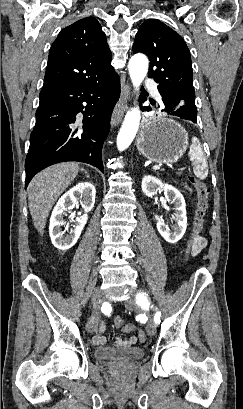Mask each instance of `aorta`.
I'll use <instances>...</instances> for the list:
<instances>
[{
	"instance_id": "obj_1",
	"label": "aorta",
	"mask_w": 243,
	"mask_h": 409,
	"mask_svg": "<svg viewBox=\"0 0 243 409\" xmlns=\"http://www.w3.org/2000/svg\"><path fill=\"white\" fill-rule=\"evenodd\" d=\"M131 81L136 90L139 89L148 71V59L143 54L134 55L128 64ZM141 114L138 108L129 111L117 136V148L124 151L132 143L139 128Z\"/></svg>"
}]
</instances>
